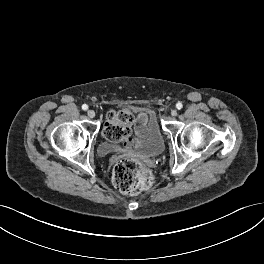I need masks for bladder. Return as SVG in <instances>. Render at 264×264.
Segmentation results:
<instances>
[{
    "instance_id": "31cf9c89",
    "label": "bladder",
    "mask_w": 264,
    "mask_h": 264,
    "mask_svg": "<svg viewBox=\"0 0 264 264\" xmlns=\"http://www.w3.org/2000/svg\"><path fill=\"white\" fill-rule=\"evenodd\" d=\"M148 124L145 135L138 139L132 149L144 157H155L164 151V139L153 112H147ZM99 150L103 155H108L116 150V145L105 141L100 144Z\"/></svg>"
}]
</instances>
